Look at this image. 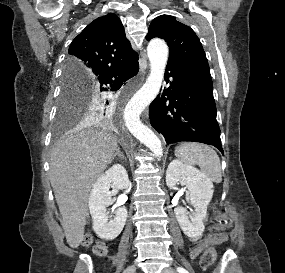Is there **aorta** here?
<instances>
[{
  "label": "aorta",
  "instance_id": "aorta-1",
  "mask_svg": "<svg viewBox=\"0 0 285 273\" xmlns=\"http://www.w3.org/2000/svg\"><path fill=\"white\" fill-rule=\"evenodd\" d=\"M150 61V74L144 85L134 94L125 109V123L129 131L155 156L163 155V147L155 133L139 119L141 112L158 95L168 60V47L165 41L153 39L147 47Z\"/></svg>",
  "mask_w": 285,
  "mask_h": 273
}]
</instances>
